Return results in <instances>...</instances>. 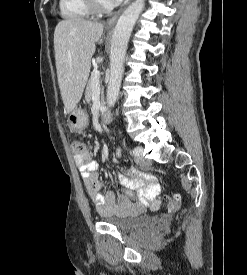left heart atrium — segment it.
Here are the masks:
<instances>
[{"label": "left heart atrium", "mask_w": 247, "mask_h": 275, "mask_svg": "<svg viewBox=\"0 0 247 275\" xmlns=\"http://www.w3.org/2000/svg\"><path fill=\"white\" fill-rule=\"evenodd\" d=\"M121 1H123V0H110L111 5H117V4H119Z\"/></svg>", "instance_id": "obj_1"}]
</instances>
